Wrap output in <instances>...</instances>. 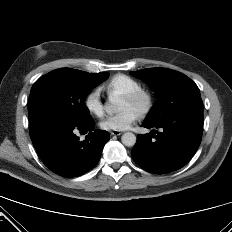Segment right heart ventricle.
Here are the masks:
<instances>
[{
  "instance_id": "obj_1",
  "label": "right heart ventricle",
  "mask_w": 232,
  "mask_h": 232,
  "mask_svg": "<svg viewBox=\"0 0 232 232\" xmlns=\"http://www.w3.org/2000/svg\"><path fill=\"white\" fill-rule=\"evenodd\" d=\"M141 88L142 85L137 79L126 74H116L104 85V89L110 96L125 95Z\"/></svg>"
}]
</instances>
